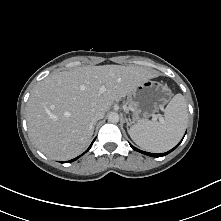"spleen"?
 I'll use <instances>...</instances> for the list:
<instances>
[{
	"mask_svg": "<svg viewBox=\"0 0 221 221\" xmlns=\"http://www.w3.org/2000/svg\"><path fill=\"white\" fill-rule=\"evenodd\" d=\"M188 121L187 104L176 94L164 110L159 122L142 119L131 126V139L146 151L161 153L173 148L182 138Z\"/></svg>",
	"mask_w": 221,
	"mask_h": 221,
	"instance_id": "3e777b00",
	"label": "spleen"
}]
</instances>
